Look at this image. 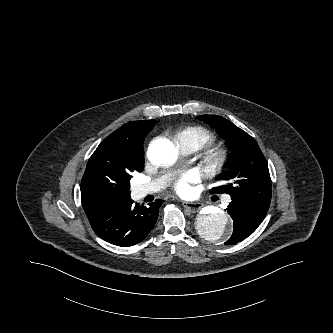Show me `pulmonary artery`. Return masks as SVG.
Listing matches in <instances>:
<instances>
[{
  "label": "pulmonary artery",
  "instance_id": "1",
  "mask_svg": "<svg viewBox=\"0 0 333 333\" xmlns=\"http://www.w3.org/2000/svg\"><path fill=\"white\" fill-rule=\"evenodd\" d=\"M177 146L183 154H190L198 149V145L191 140H177ZM164 184V178L157 179L152 182L140 184L135 188L138 197H144L147 194L158 191ZM230 200L226 198V202Z\"/></svg>",
  "mask_w": 333,
  "mask_h": 333
}]
</instances>
